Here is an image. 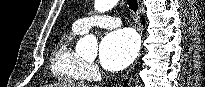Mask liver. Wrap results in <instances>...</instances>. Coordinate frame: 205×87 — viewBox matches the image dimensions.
Here are the masks:
<instances>
[{
	"mask_svg": "<svg viewBox=\"0 0 205 87\" xmlns=\"http://www.w3.org/2000/svg\"><path fill=\"white\" fill-rule=\"evenodd\" d=\"M49 87H91L87 84H75L73 82H61L56 84H51Z\"/></svg>",
	"mask_w": 205,
	"mask_h": 87,
	"instance_id": "liver-1",
	"label": "liver"
}]
</instances>
